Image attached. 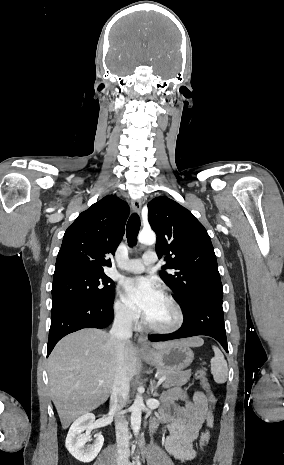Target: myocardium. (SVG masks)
<instances>
[{
    "label": "myocardium",
    "instance_id": "myocardium-1",
    "mask_svg": "<svg viewBox=\"0 0 284 465\" xmlns=\"http://www.w3.org/2000/svg\"><path fill=\"white\" fill-rule=\"evenodd\" d=\"M161 295L169 303V305L171 306V308L174 311V314H175L174 323L171 324L168 327H156V326L151 325L148 322L147 318L144 317L143 318V324H144V326L146 327V329L149 332H151V333H153L155 335H162V336L172 335V334L176 333L182 327V325L184 323V314H183V311H182L180 305L174 299L173 296H171L170 294L165 293V292H163Z\"/></svg>",
    "mask_w": 284,
    "mask_h": 465
}]
</instances>
